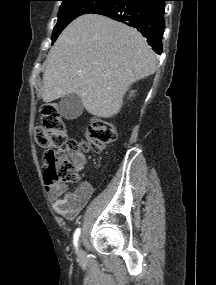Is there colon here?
I'll list each match as a JSON object with an SVG mask.
<instances>
[{"label":"colon","mask_w":216,"mask_h":285,"mask_svg":"<svg viewBox=\"0 0 216 285\" xmlns=\"http://www.w3.org/2000/svg\"><path fill=\"white\" fill-rule=\"evenodd\" d=\"M41 115V124L35 128V140L41 147L49 148L44 158V177L47 184L76 181L77 151L80 148L86 151H102L117 136L111 123L94 118L86 129L87 142L79 144L67 138L65 124L56 104L44 105Z\"/></svg>","instance_id":"colon-1"}]
</instances>
